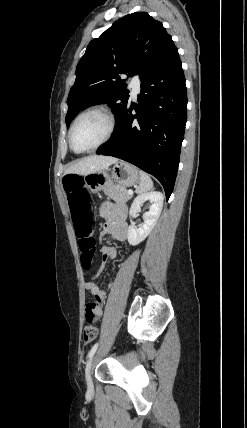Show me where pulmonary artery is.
Wrapping results in <instances>:
<instances>
[{"label": "pulmonary artery", "instance_id": "obj_1", "mask_svg": "<svg viewBox=\"0 0 247 428\" xmlns=\"http://www.w3.org/2000/svg\"><path fill=\"white\" fill-rule=\"evenodd\" d=\"M130 85H131L133 94L138 95L140 93V80L138 78H133Z\"/></svg>", "mask_w": 247, "mask_h": 428}]
</instances>
